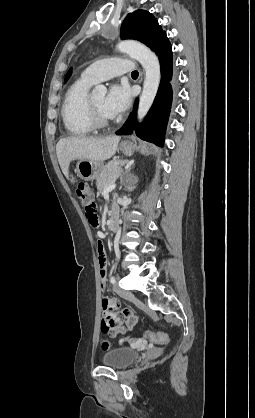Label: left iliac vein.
Returning a JSON list of instances; mask_svg holds the SVG:
<instances>
[{
	"mask_svg": "<svg viewBox=\"0 0 255 418\" xmlns=\"http://www.w3.org/2000/svg\"><path fill=\"white\" fill-rule=\"evenodd\" d=\"M113 289L121 297H124V298H127V299H132L134 297L133 294L130 291L123 290L116 283L113 285Z\"/></svg>",
	"mask_w": 255,
	"mask_h": 418,
	"instance_id": "left-iliac-vein-1",
	"label": "left iliac vein"
}]
</instances>
